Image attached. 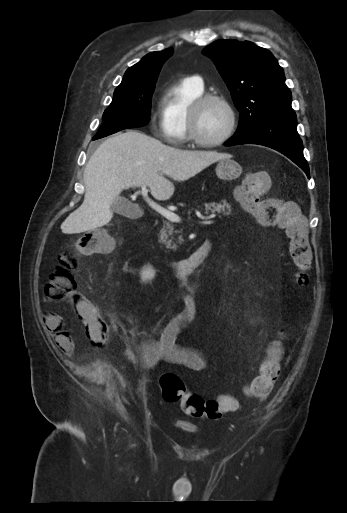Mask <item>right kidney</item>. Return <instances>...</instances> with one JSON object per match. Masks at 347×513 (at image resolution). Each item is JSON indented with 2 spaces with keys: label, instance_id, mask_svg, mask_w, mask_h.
<instances>
[{
  "label": "right kidney",
  "instance_id": "obj_1",
  "mask_svg": "<svg viewBox=\"0 0 347 513\" xmlns=\"http://www.w3.org/2000/svg\"><path fill=\"white\" fill-rule=\"evenodd\" d=\"M155 275V271L151 266H148L142 270V278L143 280H149L153 278Z\"/></svg>",
  "mask_w": 347,
  "mask_h": 513
}]
</instances>
